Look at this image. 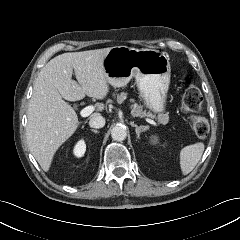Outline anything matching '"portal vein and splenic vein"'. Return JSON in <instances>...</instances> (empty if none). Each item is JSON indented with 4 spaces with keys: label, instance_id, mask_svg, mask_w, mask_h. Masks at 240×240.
<instances>
[{
    "label": "portal vein and splenic vein",
    "instance_id": "portal-vein-and-splenic-vein-1",
    "mask_svg": "<svg viewBox=\"0 0 240 240\" xmlns=\"http://www.w3.org/2000/svg\"><path fill=\"white\" fill-rule=\"evenodd\" d=\"M94 111V106H87L80 111L81 117H87ZM146 121L153 126H158V123L152 119L146 118Z\"/></svg>",
    "mask_w": 240,
    "mask_h": 240
}]
</instances>
